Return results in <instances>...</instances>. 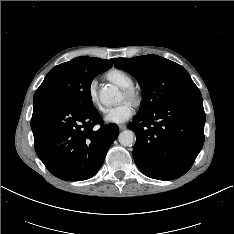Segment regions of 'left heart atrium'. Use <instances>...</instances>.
<instances>
[{
    "label": "left heart atrium",
    "mask_w": 234,
    "mask_h": 234,
    "mask_svg": "<svg viewBox=\"0 0 234 234\" xmlns=\"http://www.w3.org/2000/svg\"><path fill=\"white\" fill-rule=\"evenodd\" d=\"M134 113L130 102H123L118 106L111 108L105 115V120L109 123H123L132 117Z\"/></svg>",
    "instance_id": "obj_1"
}]
</instances>
